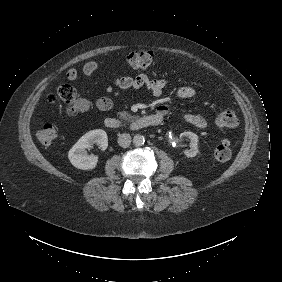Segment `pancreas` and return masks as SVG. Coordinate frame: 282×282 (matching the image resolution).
Wrapping results in <instances>:
<instances>
[{
  "mask_svg": "<svg viewBox=\"0 0 282 282\" xmlns=\"http://www.w3.org/2000/svg\"><path fill=\"white\" fill-rule=\"evenodd\" d=\"M117 113L119 115L118 118L126 123H130L132 120L135 121L140 118L139 116L130 114L128 111H118Z\"/></svg>",
  "mask_w": 282,
  "mask_h": 282,
  "instance_id": "obj_1",
  "label": "pancreas"
}]
</instances>
